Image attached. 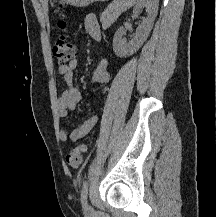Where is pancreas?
Listing matches in <instances>:
<instances>
[{
    "label": "pancreas",
    "mask_w": 216,
    "mask_h": 217,
    "mask_svg": "<svg viewBox=\"0 0 216 217\" xmlns=\"http://www.w3.org/2000/svg\"><path fill=\"white\" fill-rule=\"evenodd\" d=\"M125 10V3L123 0H114L109 4L105 11L100 16L102 28H109Z\"/></svg>",
    "instance_id": "obj_1"
}]
</instances>
